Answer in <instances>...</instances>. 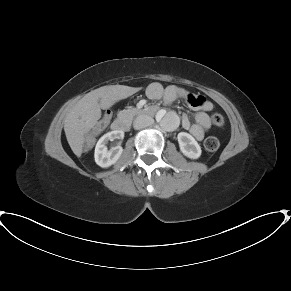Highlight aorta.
Masks as SVG:
<instances>
[{
	"mask_svg": "<svg viewBox=\"0 0 291 291\" xmlns=\"http://www.w3.org/2000/svg\"><path fill=\"white\" fill-rule=\"evenodd\" d=\"M161 128L165 131H174L179 126V118L172 112L157 116Z\"/></svg>",
	"mask_w": 291,
	"mask_h": 291,
	"instance_id": "762f6f07",
	"label": "aorta"
}]
</instances>
